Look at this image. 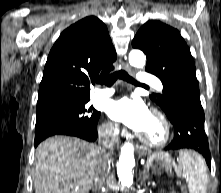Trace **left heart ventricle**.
I'll return each instance as SVG.
<instances>
[{"mask_svg":"<svg viewBox=\"0 0 221 193\" xmlns=\"http://www.w3.org/2000/svg\"><path fill=\"white\" fill-rule=\"evenodd\" d=\"M152 141H158L163 137V127L160 121L153 114H149V117L143 127L139 131Z\"/></svg>","mask_w":221,"mask_h":193,"instance_id":"left-heart-ventricle-1","label":"left heart ventricle"}]
</instances>
